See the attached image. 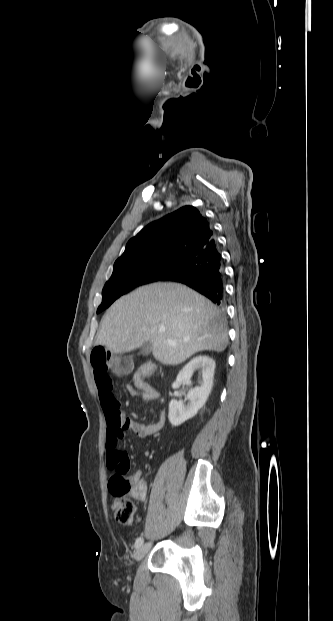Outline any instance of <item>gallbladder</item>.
Masks as SVG:
<instances>
[{
  "mask_svg": "<svg viewBox=\"0 0 333 621\" xmlns=\"http://www.w3.org/2000/svg\"><path fill=\"white\" fill-rule=\"evenodd\" d=\"M152 352V344L150 341L145 342L139 349L140 355H149Z\"/></svg>",
  "mask_w": 333,
  "mask_h": 621,
  "instance_id": "bac80fb5",
  "label": "gallbladder"
}]
</instances>
